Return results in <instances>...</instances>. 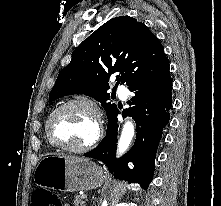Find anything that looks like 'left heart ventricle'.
Returning <instances> with one entry per match:
<instances>
[{
  "label": "left heart ventricle",
  "instance_id": "left-heart-ventricle-1",
  "mask_svg": "<svg viewBox=\"0 0 221 206\" xmlns=\"http://www.w3.org/2000/svg\"><path fill=\"white\" fill-rule=\"evenodd\" d=\"M51 131L57 142L72 147H81L92 140L95 133V121L88 109L74 105L55 116Z\"/></svg>",
  "mask_w": 221,
  "mask_h": 206
}]
</instances>
